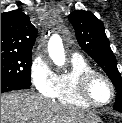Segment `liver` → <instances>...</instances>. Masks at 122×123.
Here are the masks:
<instances>
[{
  "mask_svg": "<svg viewBox=\"0 0 122 123\" xmlns=\"http://www.w3.org/2000/svg\"><path fill=\"white\" fill-rule=\"evenodd\" d=\"M101 122L94 113L52 102L40 94L19 90L1 95V123Z\"/></svg>",
  "mask_w": 122,
  "mask_h": 123,
  "instance_id": "1",
  "label": "liver"
}]
</instances>
